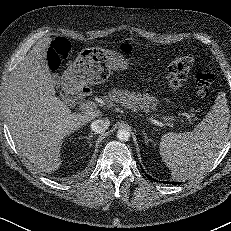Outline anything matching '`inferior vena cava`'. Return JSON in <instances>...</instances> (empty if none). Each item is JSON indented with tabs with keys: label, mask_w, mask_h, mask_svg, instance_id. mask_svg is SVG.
I'll return each instance as SVG.
<instances>
[{
	"label": "inferior vena cava",
	"mask_w": 231,
	"mask_h": 231,
	"mask_svg": "<svg viewBox=\"0 0 231 231\" xmlns=\"http://www.w3.org/2000/svg\"><path fill=\"white\" fill-rule=\"evenodd\" d=\"M110 126V121L107 118H101L94 120L91 124V129L95 133H103L105 132L108 127Z\"/></svg>",
	"instance_id": "602c4592"
}]
</instances>
